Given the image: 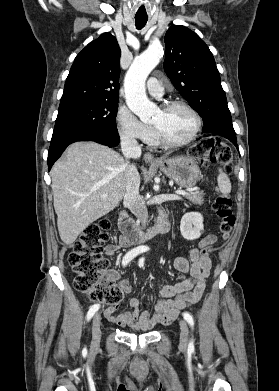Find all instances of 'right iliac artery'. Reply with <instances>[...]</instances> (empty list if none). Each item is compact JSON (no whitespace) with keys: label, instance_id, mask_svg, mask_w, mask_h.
<instances>
[{"label":"right iliac artery","instance_id":"obj_1","mask_svg":"<svg viewBox=\"0 0 279 391\" xmlns=\"http://www.w3.org/2000/svg\"><path fill=\"white\" fill-rule=\"evenodd\" d=\"M146 251V248L144 247H137L132 250H130L126 255L123 257L122 265L126 266L133 258H135L137 255L143 253ZM100 305L94 304L90 307L88 313H87V321H89L93 315L98 311Z\"/></svg>","mask_w":279,"mask_h":391}]
</instances>
